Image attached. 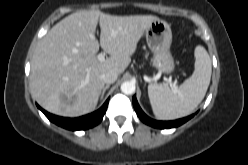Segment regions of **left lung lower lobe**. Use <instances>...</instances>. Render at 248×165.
I'll use <instances>...</instances> for the list:
<instances>
[{
	"label": "left lung lower lobe",
	"instance_id": "1",
	"mask_svg": "<svg viewBox=\"0 0 248 165\" xmlns=\"http://www.w3.org/2000/svg\"><path fill=\"white\" fill-rule=\"evenodd\" d=\"M133 105H134V109H135L138 117L141 119V121H143L147 125H150V126L155 127V128H160V129L178 127L194 116V114H193V115H190L186 118L178 119L175 121H156V120L149 118L142 111V109L140 108V106L136 100V96H133Z\"/></svg>",
	"mask_w": 248,
	"mask_h": 165
}]
</instances>
